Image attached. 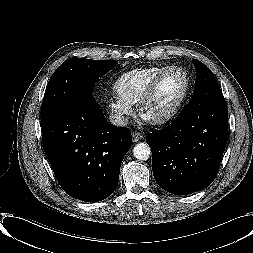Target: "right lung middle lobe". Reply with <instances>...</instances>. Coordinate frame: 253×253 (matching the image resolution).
<instances>
[{"label": "right lung middle lobe", "instance_id": "dd1d6c3e", "mask_svg": "<svg viewBox=\"0 0 253 253\" xmlns=\"http://www.w3.org/2000/svg\"><path fill=\"white\" fill-rule=\"evenodd\" d=\"M117 61L70 58L51 76L41 107V125L52 118L70 100L90 93L99 77L117 65Z\"/></svg>", "mask_w": 253, "mask_h": 253}]
</instances>
